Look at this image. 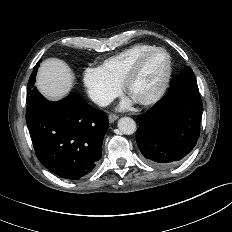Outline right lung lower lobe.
<instances>
[{"label":"right lung lower lobe","mask_w":232,"mask_h":232,"mask_svg":"<svg viewBox=\"0 0 232 232\" xmlns=\"http://www.w3.org/2000/svg\"><path fill=\"white\" fill-rule=\"evenodd\" d=\"M26 122L39 161L62 178L85 177L101 159L108 117L74 92L51 102L35 87L27 98Z\"/></svg>","instance_id":"1"}]
</instances>
